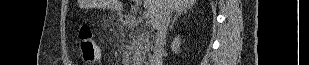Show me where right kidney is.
Here are the masks:
<instances>
[{"instance_id":"obj_1","label":"right kidney","mask_w":309,"mask_h":65,"mask_svg":"<svg viewBox=\"0 0 309 65\" xmlns=\"http://www.w3.org/2000/svg\"><path fill=\"white\" fill-rule=\"evenodd\" d=\"M181 38L176 36L171 43V50L173 53L178 54L180 52Z\"/></svg>"}]
</instances>
